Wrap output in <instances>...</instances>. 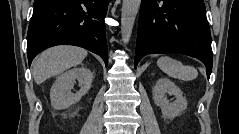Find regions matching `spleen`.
I'll use <instances>...</instances> for the list:
<instances>
[{"label":"spleen","instance_id":"3e777b00","mask_svg":"<svg viewBox=\"0 0 239 134\" xmlns=\"http://www.w3.org/2000/svg\"><path fill=\"white\" fill-rule=\"evenodd\" d=\"M158 67L169 77L190 81L198 76V71L193 66H185L180 61L169 56H162L157 60Z\"/></svg>","mask_w":239,"mask_h":134}]
</instances>
